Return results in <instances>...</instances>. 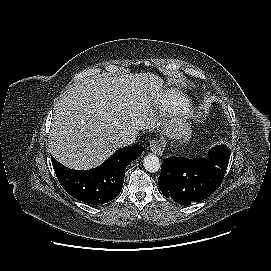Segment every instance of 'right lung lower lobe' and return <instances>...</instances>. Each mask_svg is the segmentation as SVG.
I'll list each match as a JSON object with an SVG mask.
<instances>
[{
  "instance_id": "98d812e1",
  "label": "right lung lower lobe",
  "mask_w": 271,
  "mask_h": 271,
  "mask_svg": "<svg viewBox=\"0 0 271 271\" xmlns=\"http://www.w3.org/2000/svg\"><path fill=\"white\" fill-rule=\"evenodd\" d=\"M142 152L140 145L126 147L116 151L97 168L85 171L67 169L53 157L51 160L56 177L67 193L82 202L98 205L118 196L127 165Z\"/></svg>"
}]
</instances>
